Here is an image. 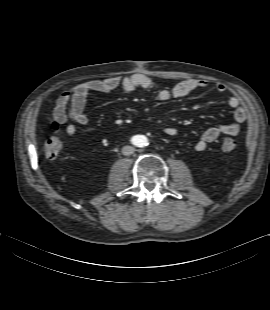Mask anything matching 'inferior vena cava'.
<instances>
[{
    "instance_id": "1",
    "label": "inferior vena cava",
    "mask_w": 270,
    "mask_h": 310,
    "mask_svg": "<svg viewBox=\"0 0 270 310\" xmlns=\"http://www.w3.org/2000/svg\"><path fill=\"white\" fill-rule=\"evenodd\" d=\"M134 151H135V148L132 147V146H124V147L122 148V154H123L124 156H129V155L133 154Z\"/></svg>"
}]
</instances>
